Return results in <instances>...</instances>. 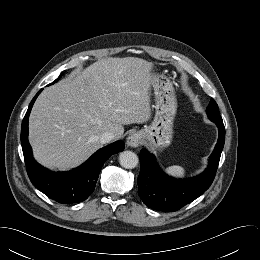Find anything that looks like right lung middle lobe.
Returning a JSON list of instances; mask_svg holds the SVG:
<instances>
[{
	"instance_id": "dd1d6c3e",
	"label": "right lung middle lobe",
	"mask_w": 260,
	"mask_h": 260,
	"mask_svg": "<svg viewBox=\"0 0 260 260\" xmlns=\"http://www.w3.org/2000/svg\"><path fill=\"white\" fill-rule=\"evenodd\" d=\"M62 75H60L59 77H58V79L57 80H55L53 83H55L56 81H58L59 80V78L61 77ZM53 83H51V84H53Z\"/></svg>"
}]
</instances>
